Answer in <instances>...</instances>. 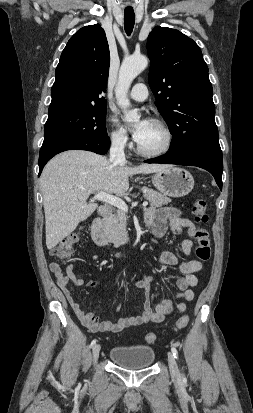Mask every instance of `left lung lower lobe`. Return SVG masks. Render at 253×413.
Wrapping results in <instances>:
<instances>
[{"instance_id": "1", "label": "left lung lower lobe", "mask_w": 253, "mask_h": 413, "mask_svg": "<svg viewBox=\"0 0 253 413\" xmlns=\"http://www.w3.org/2000/svg\"><path fill=\"white\" fill-rule=\"evenodd\" d=\"M146 163H167L187 166H197L209 171L215 178L216 183L222 190L223 160L221 148L215 147H196L180 152L148 159Z\"/></svg>"}]
</instances>
